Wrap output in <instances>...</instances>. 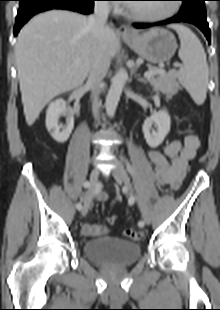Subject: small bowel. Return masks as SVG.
<instances>
[{
  "label": "small bowel",
  "mask_w": 220,
  "mask_h": 310,
  "mask_svg": "<svg viewBox=\"0 0 220 310\" xmlns=\"http://www.w3.org/2000/svg\"><path fill=\"white\" fill-rule=\"evenodd\" d=\"M199 146L198 137L188 133L181 140H172L167 143L162 151H148L147 159L154 165L155 181L177 190L187 173L188 163L195 157ZM97 199L105 201L108 195L103 192ZM107 232V228L98 224L84 223L82 226V233L86 237H96Z\"/></svg>",
  "instance_id": "small-bowel-1"
}]
</instances>
